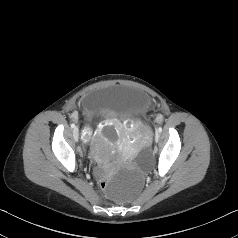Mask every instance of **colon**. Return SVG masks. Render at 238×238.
Listing matches in <instances>:
<instances>
[{"label": "colon", "instance_id": "colon-1", "mask_svg": "<svg viewBox=\"0 0 238 238\" xmlns=\"http://www.w3.org/2000/svg\"><path fill=\"white\" fill-rule=\"evenodd\" d=\"M156 121H157V122H162V118H161V117H157V118H156ZM100 185H101L102 188H105L106 185H107L106 180H102V181L100 182Z\"/></svg>", "mask_w": 238, "mask_h": 238}]
</instances>
